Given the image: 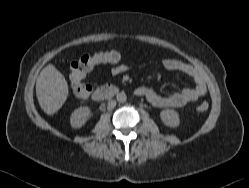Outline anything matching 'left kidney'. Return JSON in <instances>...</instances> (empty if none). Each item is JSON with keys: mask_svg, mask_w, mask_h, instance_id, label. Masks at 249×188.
Wrapping results in <instances>:
<instances>
[{"mask_svg": "<svg viewBox=\"0 0 249 188\" xmlns=\"http://www.w3.org/2000/svg\"><path fill=\"white\" fill-rule=\"evenodd\" d=\"M162 122L169 127H178L180 124L179 115L175 110L165 109L160 112Z\"/></svg>", "mask_w": 249, "mask_h": 188, "instance_id": "5707ae66", "label": "left kidney"}]
</instances>
